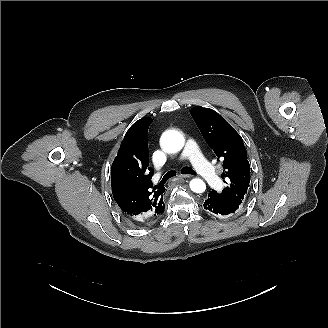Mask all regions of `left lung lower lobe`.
<instances>
[{
  "mask_svg": "<svg viewBox=\"0 0 328 328\" xmlns=\"http://www.w3.org/2000/svg\"><path fill=\"white\" fill-rule=\"evenodd\" d=\"M203 207L210 214L223 218L229 217L234 213V211L216 201L211 194H208V198L205 200Z\"/></svg>",
  "mask_w": 328,
  "mask_h": 328,
  "instance_id": "1",
  "label": "left lung lower lobe"
}]
</instances>
